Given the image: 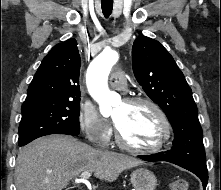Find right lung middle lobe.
I'll return each mask as SVG.
<instances>
[{"label":"right lung middle lobe","instance_id":"1","mask_svg":"<svg viewBox=\"0 0 221 190\" xmlns=\"http://www.w3.org/2000/svg\"><path fill=\"white\" fill-rule=\"evenodd\" d=\"M19 146L41 136L80 133V99L52 100L22 105Z\"/></svg>","mask_w":221,"mask_h":190}]
</instances>
